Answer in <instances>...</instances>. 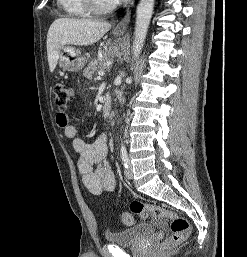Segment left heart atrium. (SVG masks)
Returning <instances> with one entry per match:
<instances>
[{
  "mask_svg": "<svg viewBox=\"0 0 247 257\" xmlns=\"http://www.w3.org/2000/svg\"><path fill=\"white\" fill-rule=\"evenodd\" d=\"M113 1H115V2H119V1H121V0H113Z\"/></svg>",
  "mask_w": 247,
  "mask_h": 257,
  "instance_id": "left-heart-atrium-1",
  "label": "left heart atrium"
}]
</instances>
